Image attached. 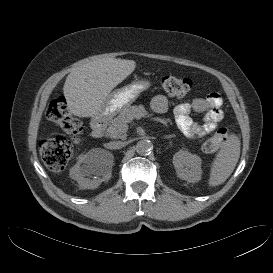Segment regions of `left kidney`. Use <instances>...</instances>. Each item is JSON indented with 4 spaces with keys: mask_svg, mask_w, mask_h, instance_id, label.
I'll list each match as a JSON object with an SVG mask.
<instances>
[{
    "mask_svg": "<svg viewBox=\"0 0 273 273\" xmlns=\"http://www.w3.org/2000/svg\"><path fill=\"white\" fill-rule=\"evenodd\" d=\"M173 165L178 177L189 183L201 180V158L186 150H179L173 155Z\"/></svg>",
    "mask_w": 273,
    "mask_h": 273,
    "instance_id": "5707ae66",
    "label": "left kidney"
}]
</instances>
